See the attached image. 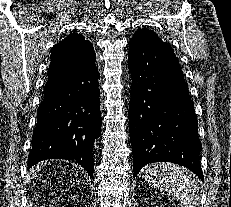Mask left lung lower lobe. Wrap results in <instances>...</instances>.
<instances>
[{"instance_id":"left-lung-lower-lobe-1","label":"left lung lower lobe","mask_w":231,"mask_h":207,"mask_svg":"<svg viewBox=\"0 0 231 207\" xmlns=\"http://www.w3.org/2000/svg\"><path fill=\"white\" fill-rule=\"evenodd\" d=\"M129 131L134 177L149 163L173 162L204 179L198 122L170 44L129 42Z\"/></svg>"}]
</instances>
